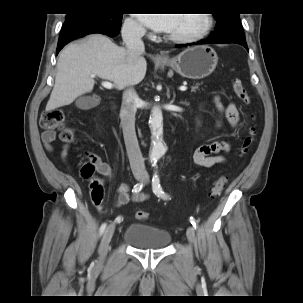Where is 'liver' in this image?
I'll return each instance as SVG.
<instances>
[{"mask_svg":"<svg viewBox=\"0 0 303 303\" xmlns=\"http://www.w3.org/2000/svg\"><path fill=\"white\" fill-rule=\"evenodd\" d=\"M146 60L131 61L127 49L101 34L70 43L59 54L55 85L46 111L70 105L77 97L93 90L91 75L114 83L121 90L140 83L146 74Z\"/></svg>","mask_w":303,"mask_h":303,"instance_id":"obj_1","label":"liver"}]
</instances>
